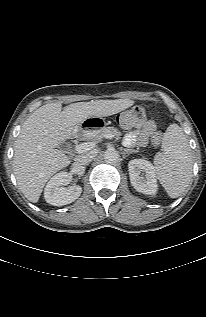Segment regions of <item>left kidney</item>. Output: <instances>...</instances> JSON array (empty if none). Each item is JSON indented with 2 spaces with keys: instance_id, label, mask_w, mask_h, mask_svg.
<instances>
[{
  "instance_id": "obj_1",
  "label": "left kidney",
  "mask_w": 206,
  "mask_h": 317,
  "mask_svg": "<svg viewBox=\"0 0 206 317\" xmlns=\"http://www.w3.org/2000/svg\"><path fill=\"white\" fill-rule=\"evenodd\" d=\"M130 182L136 191L155 195L158 190L154 166L144 159H133L128 163Z\"/></svg>"
}]
</instances>
